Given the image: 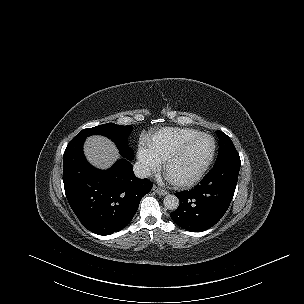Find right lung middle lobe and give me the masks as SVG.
<instances>
[{"instance_id": "1", "label": "right lung middle lobe", "mask_w": 304, "mask_h": 304, "mask_svg": "<svg viewBox=\"0 0 304 304\" xmlns=\"http://www.w3.org/2000/svg\"><path fill=\"white\" fill-rule=\"evenodd\" d=\"M133 130L131 125L121 126L114 123H106L93 128H87L80 131L75 137L86 138L89 135L99 134L110 138L116 143L120 154L129 160L134 158V151L128 146L127 137Z\"/></svg>"}]
</instances>
